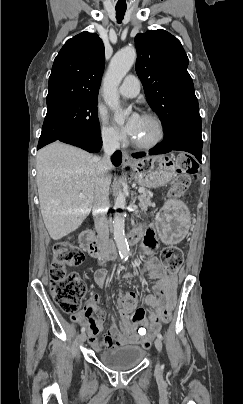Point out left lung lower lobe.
Returning a JSON list of instances; mask_svg holds the SVG:
<instances>
[{"mask_svg": "<svg viewBox=\"0 0 243 404\" xmlns=\"http://www.w3.org/2000/svg\"><path fill=\"white\" fill-rule=\"evenodd\" d=\"M201 126V118H184L174 122L165 130L164 141L150 149L149 155L180 150L193 154L201 162L203 146ZM145 155V153L140 152L132 156L134 158H141Z\"/></svg>", "mask_w": 243, "mask_h": 404, "instance_id": "left-lung-lower-lobe-1", "label": "left lung lower lobe"}]
</instances>
